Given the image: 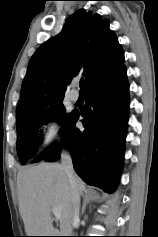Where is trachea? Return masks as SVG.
Returning a JSON list of instances; mask_svg holds the SVG:
<instances>
[{
	"label": "trachea",
	"mask_w": 158,
	"mask_h": 237,
	"mask_svg": "<svg viewBox=\"0 0 158 237\" xmlns=\"http://www.w3.org/2000/svg\"><path fill=\"white\" fill-rule=\"evenodd\" d=\"M85 85V80H80V87L83 88Z\"/></svg>",
	"instance_id": "1"
}]
</instances>
